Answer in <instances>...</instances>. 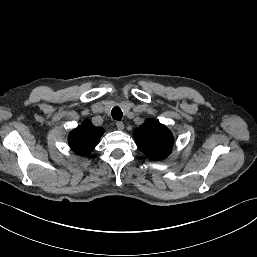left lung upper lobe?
<instances>
[{
    "mask_svg": "<svg viewBox=\"0 0 257 257\" xmlns=\"http://www.w3.org/2000/svg\"><path fill=\"white\" fill-rule=\"evenodd\" d=\"M134 138L139 149L152 160L166 158L173 146L174 138L168 128L149 119L134 130Z\"/></svg>",
    "mask_w": 257,
    "mask_h": 257,
    "instance_id": "1",
    "label": "left lung upper lobe"
}]
</instances>
